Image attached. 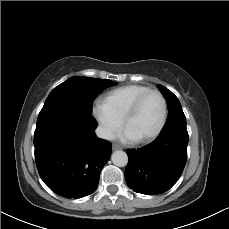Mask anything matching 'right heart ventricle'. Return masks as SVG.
<instances>
[{"label": "right heart ventricle", "mask_w": 229, "mask_h": 229, "mask_svg": "<svg viewBox=\"0 0 229 229\" xmlns=\"http://www.w3.org/2000/svg\"><path fill=\"white\" fill-rule=\"evenodd\" d=\"M151 88L145 85L131 84L109 91L103 101L118 119L122 120L129 105L141 94Z\"/></svg>", "instance_id": "e07e8e85"}]
</instances>
